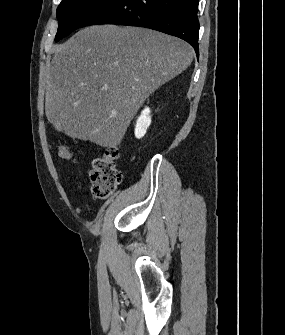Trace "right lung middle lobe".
I'll return each instance as SVG.
<instances>
[{"mask_svg": "<svg viewBox=\"0 0 285 335\" xmlns=\"http://www.w3.org/2000/svg\"><path fill=\"white\" fill-rule=\"evenodd\" d=\"M116 0H62L57 8L59 21L55 41L66 37Z\"/></svg>", "mask_w": 285, "mask_h": 335, "instance_id": "right-lung-middle-lobe-1", "label": "right lung middle lobe"}]
</instances>
